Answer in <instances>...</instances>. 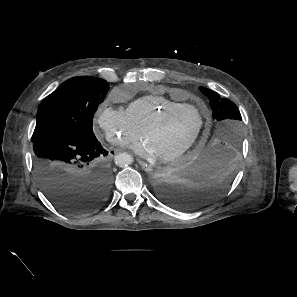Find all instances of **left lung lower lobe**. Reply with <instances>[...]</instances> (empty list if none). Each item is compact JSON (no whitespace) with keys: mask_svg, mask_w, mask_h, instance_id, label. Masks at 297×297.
Returning a JSON list of instances; mask_svg holds the SVG:
<instances>
[{"mask_svg":"<svg viewBox=\"0 0 297 297\" xmlns=\"http://www.w3.org/2000/svg\"><path fill=\"white\" fill-rule=\"evenodd\" d=\"M237 153L217 144L198 146L177 164L158 172L154 185L161 200L178 209L206 206L231 185Z\"/></svg>","mask_w":297,"mask_h":297,"instance_id":"obj_1","label":"left lung lower lobe"}]
</instances>
